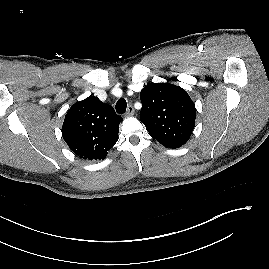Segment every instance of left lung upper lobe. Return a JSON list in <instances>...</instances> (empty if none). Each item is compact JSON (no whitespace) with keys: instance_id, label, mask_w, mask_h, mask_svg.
I'll list each match as a JSON object with an SVG mask.
<instances>
[{"instance_id":"left-lung-upper-lobe-1","label":"left lung upper lobe","mask_w":269,"mask_h":269,"mask_svg":"<svg viewBox=\"0 0 269 269\" xmlns=\"http://www.w3.org/2000/svg\"><path fill=\"white\" fill-rule=\"evenodd\" d=\"M141 122L167 148L184 145L194 129L196 109L188 93L173 84L151 83L140 93Z\"/></svg>"}]
</instances>
